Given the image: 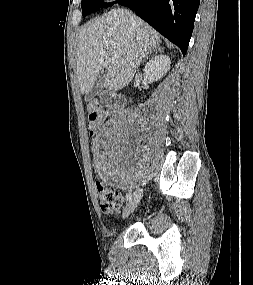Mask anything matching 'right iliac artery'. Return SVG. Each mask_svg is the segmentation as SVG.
Instances as JSON below:
<instances>
[{"instance_id": "82829eb1", "label": "right iliac artery", "mask_w": 253, "mask_h": 285, "mask_svg": "<svg viewBox=\"0 0 253 285\" xmlns=\"http://www.w3.org/2000/svg\"><path fill=\"white\" fill-rule=\"evenodd\" d=\"M131 197H132V193L131 192H129L127 195H126V200L128 201V200H130L131 199Z\"/></svg>"}]
</instances>
